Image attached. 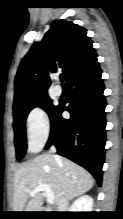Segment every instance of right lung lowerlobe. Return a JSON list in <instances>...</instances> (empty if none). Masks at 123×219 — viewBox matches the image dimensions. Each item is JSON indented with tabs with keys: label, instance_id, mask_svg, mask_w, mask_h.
<instances>
[{
	"label": "right lung lower lobe",
	"instance_id": "1",
	"mask_svg": "<svg viewBox=\"0 0 123 219\" xmlns=\"http://www.w3.org/2000/svg\"><path fill=\"white\" fill-rule=\"evenodd\" d=\"M97 57L67 80L70 95L60 102L51 119L50 138L58 154L87 169L102 182V166L105 154V107L104 85ZM69 102L68 106L65 103ZM68 111L70 119L61 113Z\"/></svg>",
	"mask_w": 123,
	"mask_h": 219
}]
</instances>
